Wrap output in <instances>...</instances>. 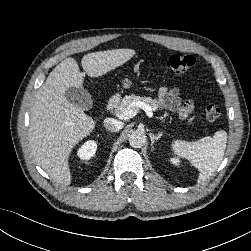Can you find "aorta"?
<instances>
[{
    "instance_id": "1",
    "label": "aorta",
    "mask_w": 251,
    "mask_h": 251,
    "mask_svg": "<svg viewBox=\"0 0 251 251\" xmlns=\"http://www.w3.org/2000/svg\"><path fill=\"white\" fill-rule=\"evenodd\" d=\"M146 142V136L141 131H134L129 136V144L133 148H141Z\"/></svg>"
}]
</instances>
